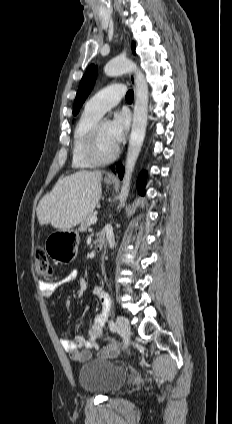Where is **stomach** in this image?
I'll use <instances>...</instances> for the list:
<instances>
[{
  "label": "stomach",
  "instance_id": "0dacf381",
  "mask_svg": "<svg viewBox=\"0 0 232 424\" xmlns=\"http://www.w3.org/2000/svg\"><path fill=\"white\" fill-rule=\"evenodd\" d=\"M106 185H112L113 181L105 179ZM79 235L74 230H59L50 234L45 241L47 254L59 263L72 261L78 250Z\"/></svg>",
  "mask_w": 232,
  "mask_h": 424
}]
</instances>
